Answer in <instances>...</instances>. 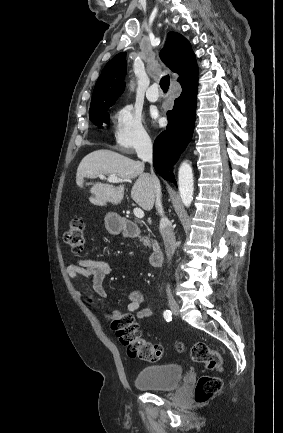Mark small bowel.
Returning a JSON list of instances; mask_svg holds the SVG:
<instances>
[{
    "label": "small bowel",
    "mask_w": 283,
    "mask_h": 433,
    "mask_svg": "<svg viewBox=\"0 0 283 433\" xmlns=\"http://www.w3.org/2000/svg\"><path fill=\"white\" fill-rule=\"evenodd\" d=\"M67 274L72 279L80 277L92 280L94 292L101 298H106L104 288V280L111 272V266L106 261L92 260L85 258H76L74 263H71L66 268ZM77 295H81L80 291H76ZM126 310L135 314L137 320L150 318L152 311L149 308L143 307L144 295L141 290L135 289L127 294Z\"/></svg>",
    "instance_id": "c3829d8e"
}]
</instances>
